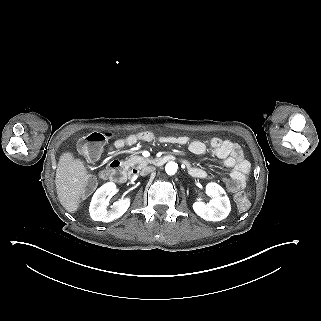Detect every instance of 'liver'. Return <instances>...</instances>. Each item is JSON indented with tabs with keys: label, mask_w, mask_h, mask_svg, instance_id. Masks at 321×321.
<instances>
[{
	"label": "liver",
	"mask_w": 321,
	"mask_h": 321,
	"mask_svg": "<svg viewBox=\"0 0 321 321\" xmlns=\"http://www.w3.org/2000/svg\"><path fill=\"white\" fill-rule=\"evenodd\" d=\"M89 178L90 174L81 160L74 159L71 153H64L60 157L55 184L59 201L69 213L77 211Z\"/></svg>",
	"instance_id": "1"
}]
</instances>
